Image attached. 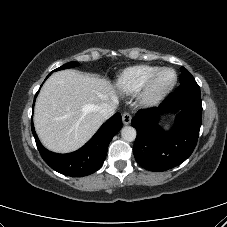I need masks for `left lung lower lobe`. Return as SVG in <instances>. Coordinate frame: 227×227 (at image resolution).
<instances>
[{"label":"left lung lower lobe","instance_id":"0a47b994","mask_svg":"<svg viewBox=\"0 0 227 227\" xmlns=\"http://www.w3.org/2000/svg\"><path fill=\"white\" fill-rule=\"evenodd\" d=\"M181 110L173 128L164 131L159 118L165 112ZM202 102L195 79L180 83L157 108L140 110L132 118L137 130L134 157L143 168L165 171L180 165L193 152L201 126Z\"/></svg>","mask_w":227,"mask_h":227}]
</instances>
